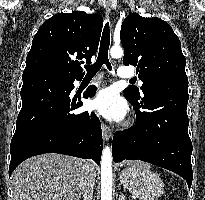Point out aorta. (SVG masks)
I'll list each match as a JSON object with an SVG mask.
<instances>
[{
  "instance_id": "aorta-1",
  "label": "aorta",
  "mask_w": 205,
  "mask_h": 200,
  "mask_svg": "<svg viewBox=\"0 0 205 200\" xmlns=\"http://www.w3.org/2000/svg\"><path fill=\"white\" fill-rule=\"evenodd\" d=\"M110 54L113 58H121L123 49L120 46L114 45ZM112 151L110 147L103 149L101 157V200H112Z\"/></svg>"
}]
</instances>
